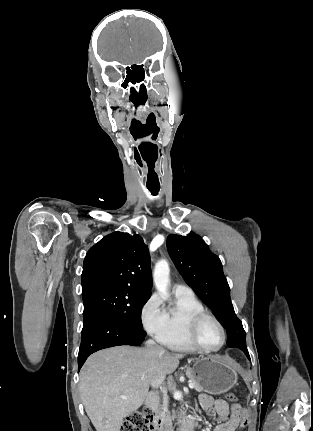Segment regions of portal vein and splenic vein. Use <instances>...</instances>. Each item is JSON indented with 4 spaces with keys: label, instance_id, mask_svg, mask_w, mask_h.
<instances>
[{
    "label": "portal vein and splenic vein",
    "instance_id": "obj_1",
    "mask_svg": "<svg viewBox=\"0 0 313 431\" xmlns=\"http://www.w3.org/2000/svg\"><path fill=\"white\" fill-rule=\"evenodd\" d=\"M189 388H191V389L194 388V384L190 382L189 383ZM122 399H127V398L126 397H122Z\"/></svg>",
    "mask_w": 313,
    "mask_h": 431
}]
</instances>
